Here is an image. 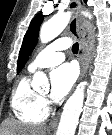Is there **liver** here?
<instances>
[{"mask_svg": "<svg viewBox=\"0 0 112 135\" xmlns=\"http://www.w3.org/2000/svg\"><path fill=\"white\" fill-rule=\"evenodd\" d=\"M2 135H47V127L45 125L28 126L15 120H5Z\"/></svg>", "mask_w": 112, "mask_h": 135, "instance_id": "6515ba94", "label": "liver"}]
</instances>
